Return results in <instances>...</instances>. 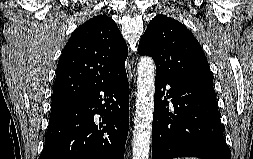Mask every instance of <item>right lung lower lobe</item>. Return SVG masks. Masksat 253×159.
Returning <instances> with one entry per match:
<instances>
[{
    "instance_id": "1",
    "label": "right lung lower lobe",
    "mask_w": 253,
    "mask_h": 159,
    "mask_svg": "<svg viewBox=\"0 0 253 159\" xmlns=\"http://www.w3.org/2000/svg\"><path fill=\"white\" fill-rule=\"evenodd\" d=\"M128 127L129 84L124 70L51 112L39 159H124Z\"/></svg>"
}]
</instances>
